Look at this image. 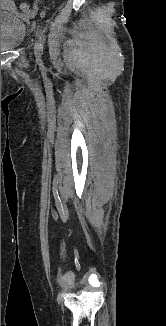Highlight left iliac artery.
Returning a JSON list of instances; mask_svg holds the SVG:
<instances>
[{
	"mask_svg": "<svg viewBox=\"0 0 166 326\" xmlns=\"http://www.w3.org/2000/svg\"><path fill=\"white\" fill-rule=\"evenodd\" d=\"M37 34L41 41L40 45H41V47H43V44L45 43V34H44L43 30H41L40 28L37 29Z\"/></svg>",
	"mask_w": 166,
	"mask_h": 326,
	"instance_id": "1",
	"label": "left iliac artery"
}]
</instances>
